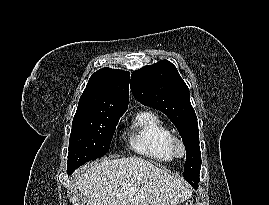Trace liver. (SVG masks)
I'll list each match as a JSON object with an SVG mask.
<instances>
[{"label":"liver","instance_id":"liver-1","mask_svg":"<svg viewBox=\"0 0 269 205\" xmlns=\"http://www.w3.org/2000/svg\"><path fill=\"white\" fill-rule=\"evenodd\" d=\"M75 178L86 205H177L192 195L181 180L138 157L104 159Z\"/></svg>","mask_w":269,"mask_h":205}]
</instances>
